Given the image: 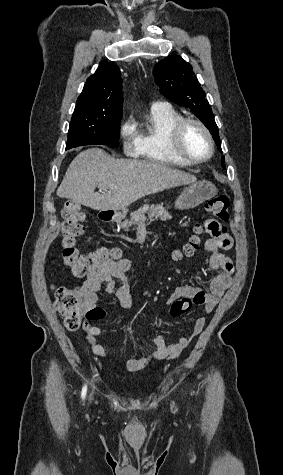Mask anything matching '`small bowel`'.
<instances>
[{"instance_id": "small-bowel-1", "label": "small bowel", "mask_w": 283, "mask_h": 475, "mask_svg": "<svg viewBox=\"0 0 283 475\" xmlns=\"http://www.w3.org/2000/svg\"><path fill=\"white\" fill-rule=\"evenodd\" d=\"M224 224L223 219H214L206 221L204 225V230L209 237L204 243V248L209 253L208 267L211 271L217 272L209 288L176 286L168 302L170 298H175L176 293H195L196 305H201L206 314L213 312L230 287L234 272L232 259L222 251L233 246V241L226 237L228 230L224 229ZM130 268L131 263L127 259H108L90 273L83 283L82 295L88 311L84 315L86 320L82 324V337L90 351L98 357L109 359L108 353L98 339L102 335V329L99 326L108 324V319L104 317L105 311L98 306V293L104 288L107 293L117 298L123 309H129L132 305V297L125 274ZM170 315L174 318L181 316L174 315L172 309ZM205 324L204 316L197 317L191 333H184L171 344L166 343V336L163 333L156 334L151 339L154 352L147 357L128 360L125 363L126 370L139 372L155 361L178 359L191 341L203 331Z\"/></svg>"}]
</instances>
